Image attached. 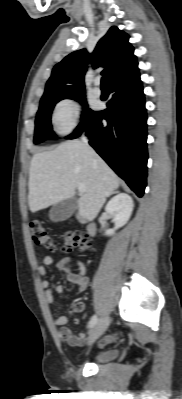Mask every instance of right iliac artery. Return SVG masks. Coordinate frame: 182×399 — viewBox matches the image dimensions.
<instances>
[{
  "label": "right iliac artery",
  "instance_id": "obj_1",
  "mask_svg": "<svg viewBox=\"0 0 182 399\" xmlns=\"http://www.w3.org/2000/svg\"><path fill=\"white\" fill-rule=\"evenodd\" d=\"M97 316L93 315L92 318L90 319L89 323H88V328H93L95 326V324L97 323Z\"/></svg>",
  "mask_w": 182,
  "mask_h": 399
}]
</instances>
